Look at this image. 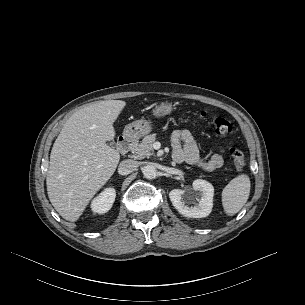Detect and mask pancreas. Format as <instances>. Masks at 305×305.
I'll return each instance as SVG.
<instances>
[{
    "label": "pancreas",
    "instance_id": "obj_1",
    "mask_svg": "<svg viewBox=\"0 0 305 305\" xmlns=\"http://www.w3.org/2000/svg\"><path fill=\"white\" fill-rule=\"evenodd\" d=\"M156 140V134H150L143 138L140 143H135L132 147V157L143 159L153 155V142Z\"/></svg>",
    "mask_w": 305,
    "mask_h": 305
}]
</instances>
